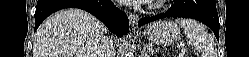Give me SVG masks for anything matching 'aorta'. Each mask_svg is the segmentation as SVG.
Listing matches in <instances>:
<instances>
[{
  "label": "aorta",
  "instance_id": "1",
  "mask_svg": "<svg viewBox=\"0 0 249 57\" xmlns=\"http://www.w3.org/2000/svg\"><path fill=\"white\" fill-rule=\"evenodd\" d=\"M125 56H126V57H132V56H133V53H132V52H128V53H126Z\"/></svg>",
  "mask_w": 249,
  "mask_h": 57
}]
</instances>
